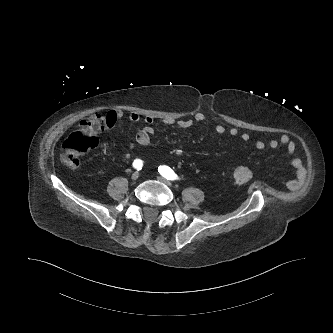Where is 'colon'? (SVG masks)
Instances as JSON below:
<instances>
[{"mask_svg": "<svg viewBox=\"0 0 333 333\" xmlns=\"http://www.w3.org/2000/svg\"><path fill=\"white\" fill-rule=\"evenodd\" d=\"M115 120L113 113L105 116L94 114L82 120L79 128L72 132L62 144L63 163L70 168L78 167L80 158L97 146L99 135ZM233 178L236 183L245 184L251 180L252 172L246 166H238L233 171Z\"/></svg>", "mask_w": 333, "mask_h": 333, "instance_id": "colon-1", "label": "colon"}]
</instances>
